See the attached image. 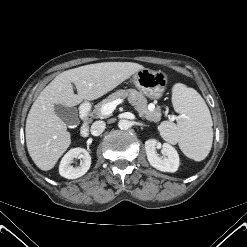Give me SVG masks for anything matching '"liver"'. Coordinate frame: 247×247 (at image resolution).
Instances as JSON below:
<instances>
[{
    "label": "liver",
    "instance_id": "1",
    "mask_svg": "<svg viewBox=\"0 0 247 247\" xmlns=\"http://www.w3.org/2000/svg\"><path fill=\"white\" fill-rule=\"evenodd\" d=\"M143 68L132 62H104L56 76L34 101L26 120V145L36 166L43 171L52 169L71 144L65 122L55 113L56 104L74 107L83 100L100 98Z\"/></svg>",
    "mask_w": 247,
    "mask_h": 247
}]
</instances>
